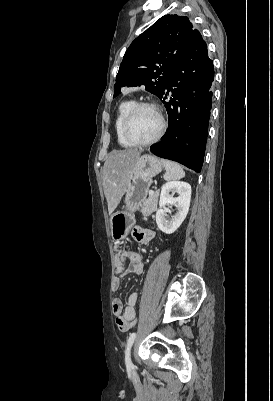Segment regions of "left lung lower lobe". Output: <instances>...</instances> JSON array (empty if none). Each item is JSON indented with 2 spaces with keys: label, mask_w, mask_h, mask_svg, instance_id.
I'll return each instance as SVG.
<instances>
[{
  "label": "left lung lower lobe",
  "mask_w": 273,
  "mask_h": 401,
  "mask_svg": "<svg viewBox=\"0 0 273 401\" xmlns=\"http://www.w3.org/2000/svg\"><path fill=\"white\" fill-rule=\"evenodd\" d=\"M213 61L201 38L175 65L169 84L159 97L168 113L169 127L150 151L200 172L205 155L212 106ZM174 87V88H173ZM171 91L169 102H165Z\"/></svg>",
  "instance_id": "1"
}]
</instances>
